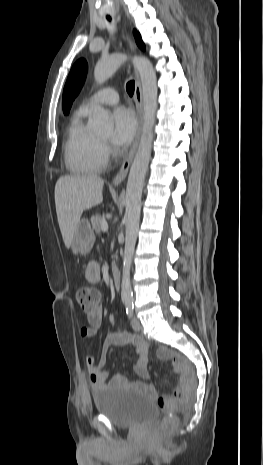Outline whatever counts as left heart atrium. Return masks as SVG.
<instances>
[{
  "mask_svg": "<svg viewBox=\"0 0 263 465\" xmlns=\"http://www.w3.org/2000/svg\"><path fill=\"white\" fill-rule=\"evenodd\" d=\"M112 143L117 147H126L133 139L137 122L133 112L125 107H117L112 114Z\"/></svg>",
  "mask_w": 263,
  "mask_h": 465,
  "instance_id": "obj_1",
  "label": "left heart atrium"
}]
</instances>
